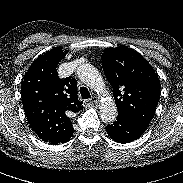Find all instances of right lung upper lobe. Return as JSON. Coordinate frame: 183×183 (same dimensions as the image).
<instances>
[{
    "label": "right lung upper lobe",
    "mask_w": 183,
    "mask_h": 183,
    "mask_svg": "<svg viewBox=\"0 0 183 183\" xmlns=\"http://www.w3.org/2000/svg\"><path fill=\"white\" fill-rule=\"evenodd\" d=\"M66 51L56 47L40 55L22 79L24 112L33 131L51 144L64 143L73 134L70 121L83 109L77 97V81L60 79L56 70Z\"/></svg>",
    "instance_id": "1"
}]
</instances>
